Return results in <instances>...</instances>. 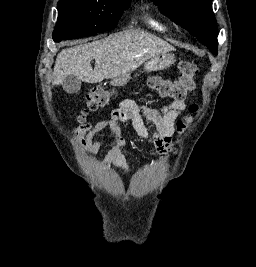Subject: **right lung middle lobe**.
Masks as SVG:
<instances>
[{
    "label": "right lung middle lobe",
    "instance_id": "right-lung-middle-lobe-1",
    "mask_svg": "<svg viewBox=\"0 0 256 267\" xmlns=\"http://www.w3.org/2000/svg\"><path fill=\"white\" fill-rule=\"evenodd\" d=\"M129 4L130 0H59L53 39L60 42L112 30Z\"/></svg>",
    "mask_w": 256,
    "mask_h": 267
}]
</instances>
